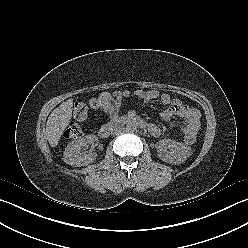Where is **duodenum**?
I'll list each match as a JSON object with an SVG mask.
<instances>
[{
    "label": "duodenum",
    "instance_id": "410a0bca",
    "mask_svg": "<svg viewBox=\"0 0 248 248\" xmlns=\"http://www.w3.org/2000/svg\"><path fill=\"white\" fill-rule=\"evenodd\" d=\"M125 124H134L140 128L149 127V124L144 120L136 116L130 115V116L116 118L113 120L111 124L104 125L103 127H101L99 134L102 138H108L115 128Z\"/></svg>",
    "mask_w": 248,
    "mask_h": 248
}]
</instances>
